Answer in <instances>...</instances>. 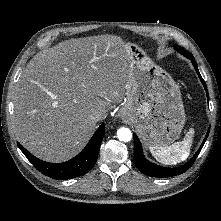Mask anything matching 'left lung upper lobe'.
Returning <instances> with one entry per match:
<instances>
[{"label": "left lung upper lobe", "instance_id": "obj_1", "mask_svg": "<svg viewBox=\"0 0 221 221\" xmlns=\"http://www.w3.org/2000/svg\"><path fill=\"white\" fill-rule=\"evenodd\" d=\"M175 49H176L178 52H180V53H182L183 55H185L187 58H189V57L192 56L189 52L185 51L183 48H181V47H179V46H176Z\"/></svg>", "mask_w": 221, "mask_h": 221}]
</instances>
